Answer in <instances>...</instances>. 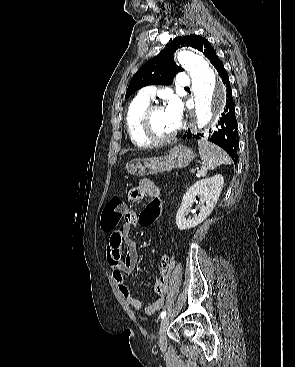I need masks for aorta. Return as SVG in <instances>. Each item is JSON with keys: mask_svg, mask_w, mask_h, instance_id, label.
<instances>
[{"mask_svg": "<svg viewBox=\"0 0 295 367\" xmlns=\"http://www.w3.org/2000/svg\"><path fill=\"white\" fill-rule=\"evenodd\" d=\"M177 61L190 73L198 127L207 125L225 101L224 86L214 69L201 56L180 52Z\"/></svg>", "mask_w": 295, "mask_h": 367, "instance_id": "1", "label": "aorta"}]
</instances>
